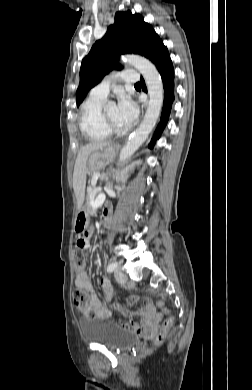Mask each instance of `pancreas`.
<instances>
[{
    "mask_svg": "<svg viewBox=\"0 0 252 390\" xmlns=\"http://www.w3.org/2000/svg\"><path fill=\"white\" fill-rule=\"evenodd\" d=\"M86 205L88 206V212H89L90 216L94 217L96 212H97V208H93L91 206V202L89 201V197H87Z\"/></svg>",
    "mask_w": 252,
    "mask_h": 390,
    "instance_id": "1",
    "label": "pancreas"
}]
</instances>
